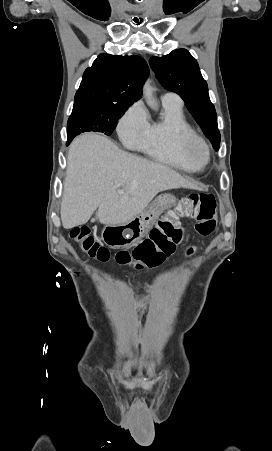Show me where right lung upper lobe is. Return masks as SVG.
I'll list each match as a JSON object with an SVG mask.
<instances>
[{
	"mask_svg": "<svg viewBox=\"0 0 272 451\" xmlns=\"http://www.w3.org/2000/svg\"><path fill=\"white\" fill-rule=\"evenodd\" d=\"M148 74V65L139 56L100 54L85 70L74 104L130 106L141 98Z\"/></svg>",
	"mask_w": 272,
	"mask_h": 451,
	"instance_id": "1",
	"label": "right lung upper lobe"
}]
</instances>
